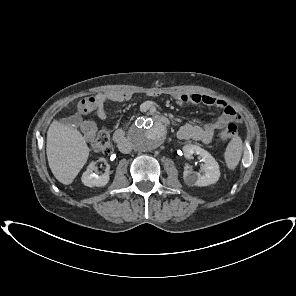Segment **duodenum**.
I'll return each instance as SVG.
<instances>
[{"mask_svg":"<svg viewBox=\"0 0 296 296\" xmlns=\"http://www.w3.org/2000/svg\"><path fill=\"white\" fill-rule=\"evenodd\" d=\"M153 116L158 122L164 125H167L169 123L168 118L163 114L155 113ZM113 140L122 152H126L128 150L129 142L123 130L121 129L116 130L113 134Z\"/></svg>","mask_w":296,"mask_h":296,"instance_id":"obj_1","label":"duodenum"}]
</instances>
